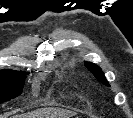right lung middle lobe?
I'll return each instance as SVG.
<instances>
[{"mask_svg":"<svg viewBox=\"0 0 133 118\" xmlns=\"http://www.w3.org/2000/svg\"><path fill=\"white\" fill-rule=\"evenodd\" d=\"M26 74L11 70L0 71V104L22 93Z\"/></svg>","mask_w":133,"mask_h":118,"instance_id":"obj_1","label":"right lung middle lobe"}]
</instances>
